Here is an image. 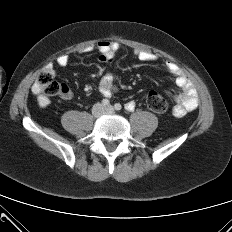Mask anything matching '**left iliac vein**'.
Masks as SVG:
<instances>
[{"label":"left iliac vein","mask_w":232,"mask_h":232,"mask_svg":"<svg viewBox=\"0 0 232 232\" xmlns=\"http://www.w3.org/2000/svg\"><path fill=\"white\" fill-rule=\"evenodd\" d=\"M104 112L105 113H114V108L112 106H107L105 109H104Z\"/></svg>","instance_id":"obj_1"}]
</instances>
